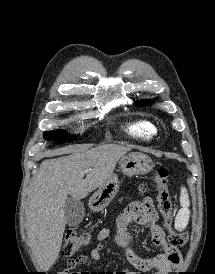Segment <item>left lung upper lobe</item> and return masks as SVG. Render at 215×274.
<instances>
[{
  "label": "left lung upper lobe",
  "mask_w": 215,
  "mask_h": 274,
  "mask_svg": "<svg viewBox=\"0 0 215 274\" xmlns=\"http://www.w3.org/2000/svg\"><path fill=\"white\" fill-rule=\"evenodd\" d=\"M149 104H150L149 100H144V101H141V102H135L136 106H146V105H149Z\"/></svg>",
  "instance_id": "obj_1"
}]
</instances>
